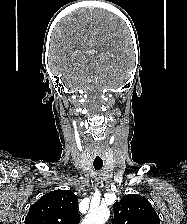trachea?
I'll use <instances>...</instances> for the list:
<instances>
[{"mask_svg": "<svg viewBox=\"0 0 187 224\" xmlns=\"http://www.w3.org/2000/svg\"><path fill=\"white\" fill-rule=\"evenodd\" d=\"M93 166H94L95 170L99 171L103 167V162H93Z\"/></svg>", "mask_w": 187, "mask_h": 224, "instance_id": "1", "label": "trachea"}]
</instances>
